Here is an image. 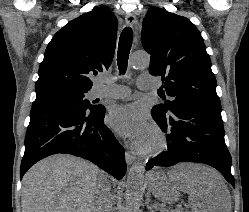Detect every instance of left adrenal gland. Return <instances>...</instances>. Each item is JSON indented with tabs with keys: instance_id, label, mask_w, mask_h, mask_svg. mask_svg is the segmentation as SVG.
<instances>
[{
	"instance_id": "left-adrenal-gland-1",
	"label": "left adrenal gland",
	"mask_w": 249,
	"mask_h": 212,
	"mask_svg": "<svg viewBox=\"0 0 249 212\" xmlns=\"http://www.w3.org/2000/svg\"><path fill=\"white\" fill-rule=\"evenodd\" d=\"M147 204V208L148 210H150V212H154V210H157V208H155L154 204H152V206H150V202H146Z\"/></svg>"
}]
</instances>
